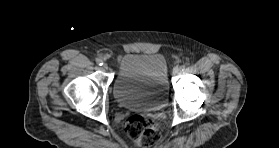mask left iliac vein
Wrapping results in <instances>:
<instances>
[{
    "label": "left iliac vein",
    "instance_id": "obj_1",
    "mask_svg": "<svg viewBox=\"0 0 279 148\" xmlns=\"http://www.w3.org/2000/svg\"><path fill=\"white\" fill-rule=\"evenodd\" d=\"M181 72V68L179 66L174 67L173 74L178 75Z\"/></svg>",
    "mask_w": 279,
    "mask_h": 148
}]
</instances>
